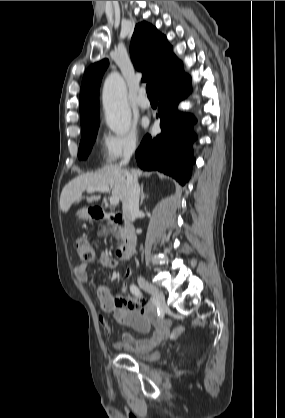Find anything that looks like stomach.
I'll use <instances>...</instances> for the list:
<instances>
[{"label":"stomach","instance_id":"stomach-1","mask_svg":"<svg viewBox=\"0 0 285 418\" xmlns=\"http://www.w3.org/2000/svg\"><path fill=\"white\" fill-rule=\"evenodd\" d=\"M77 216H78L80 219H88V218L90 217V214H89V212H88V210H87V209H82V210H79V211L77 212Z\"/></svg>","mask_w":285,"mask_h":418}]
</instances>
